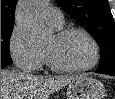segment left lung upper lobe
Wrapping results in <instances>:
<instances>
[{
  "mask_svg": "<svg viewBox=\"0 0 115 99\" xmlns=\"http://www.w3.org/2000/svg\"><path fill=\"white\" fill-rule=\"evenodd\" d=\"M97 41L101 60L97 72L115 71V24L107 0H57Z\"/></svg>",
  "mask_w": 115,
  "mask_h": 99,
  "instance_id": "left-lung-upper-lobe-1",
  "label": "left lung upper lobe"
}]
</instances>
